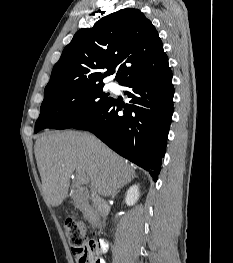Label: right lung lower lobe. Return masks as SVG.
<instances>
[{"instance_id": "98d812e1", "label": "right lung lower lobe", "mask_w": 233, "mask_h": 263, "mask_svg": "<svg viewBox=\"0 0 233 263\" xmlns=\"http://www.w3.org/2000/svg\"><path fill=\"white\" fill-rule=\"evenodd\" d=\"M120 85L130 88L125 92L131 98L129 104L112 98L74 128L91 131L118 154L149 171L156 181L173 114L171 69L167 66L161 72L133 77Z\"/></svg>"}]
</instances>
